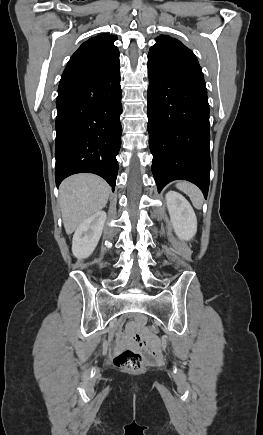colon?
I'll return each mask as SVG.
<instances>
[{"mask_svg": "<svg viewBox=\"0 0 263 435\" xmlns=\"http://www.w3.org/2000/svg\"><path fill=\"white\" fill-rule=\"evenodd\" d=\"M146 327L150 332H154L155 335H158V330H156L152 324H148ZM113 364L125 371L137 372L142 369L144 362L139 352L126 349L114 356Z\"/></svg>", "mask_w": 263, "mask_h": 435, "instance_id": "1", "label": "colon"}]
</instances>
